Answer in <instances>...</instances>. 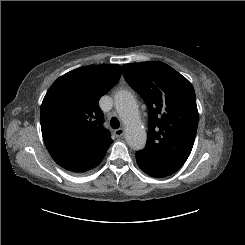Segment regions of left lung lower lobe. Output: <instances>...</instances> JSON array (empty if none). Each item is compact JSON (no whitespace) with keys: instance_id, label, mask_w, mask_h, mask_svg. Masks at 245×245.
I'll return each instance as SVG.
<instances>
[{"instance_id":"left-lung-lower-lobe-1","label":"left lung lower lobe","mask_w":245,"mask_h":245,"mask_svg":"<svg viewBox=\"0 0 245 245\" xmlns=\"http://www.w3.org/2000/svg\"><path fill=\"white\" fill-rule=\"evenodd\" d=\"M136 161L139 167L152 177H166L175 173L179 168L165 161H151L148 158L136 153Z\"/></svg>"}]
</instances>
